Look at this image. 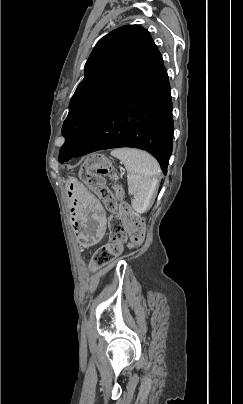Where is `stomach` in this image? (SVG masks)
Instances as JSON below:
<instances>
[{"instance_id": "1", "label": "stomach", "mask_w": 243, "mask_h": 404, "mask_svg": "<svg viewBox=\"0 0 243 404\" xmlns=\"http://www.w3.org/2000/svg\"><path fill=\"white\" fill-rule=\"evenodd\" d=\"M66 188L77 239L84 247L96 244L103 237L106 229L103 207L96 197L76 179H68Z\"/></svg>"}]
</instances>
